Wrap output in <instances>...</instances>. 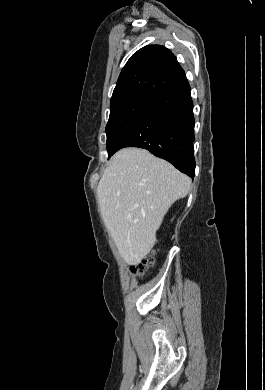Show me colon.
I'll list each match as a JSON object with an SVG mask.
<instances>
[{
  "instance_id": "colon-1",
  "label": "colon",
  "mask_w": 265,
  "mask_h": 390,
  "mask_svg": "<svg viewBox=\"0 0 265 390\" xmlns=\"http://www.w3.org/2000/svg\"><path fill=\"white\" fill-rule=\"evenodd\" d=\"M154 264L153 255L145 256L138 264L131 267V272L137 276H144Z\"/></svg>"
}]
</instances>
